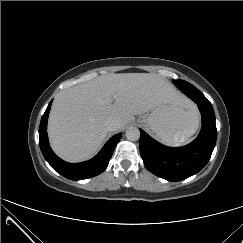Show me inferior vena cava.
Wrapping results in <instances>:
<instances>
[{"instance_id": "602c4592", "label": "inferior vena cava", "mask_w": 243, "mask_h": 243, "mask_svg": "<svg viewBox=\"0 0 243 243\" xmlns=\"http://www.w3.org/2000/svg\"><path fill=\"white\" fill-rule=\"evenodd\" d=\"M119 121L117 119H109L106 121V128L108 131H116L119 129Z\"/></svg>"}]
</instances>
